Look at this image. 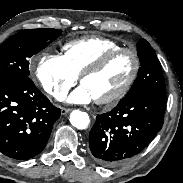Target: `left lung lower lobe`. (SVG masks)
Listing matches in <instances>:
<instances>
[{"label": "left lung lower lobe", "mask_w": 183, "mask_h": 183, "mask_svg": "<svg viewBox=\"0 0 183 183\" xmlns=\"http://www.w3.org/2000/svg\"><path fill=\"white\" fill-rule=\"evenodd\" d=\"M165 92L147 91L123 98L98 115L89 135L90 152L100 165L112 167L139 154L163 125Z\"/></svg>", "instance_id": "0a47b994"}]
</instances>
